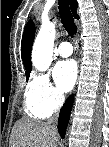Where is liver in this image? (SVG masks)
<instances>
[{"label": "liver", "instance_id": "liver-1", "mask_svg": "<svg viewBox=\"0 0 109 147\" xmlns=\"http://www.w3.org/2000/svg\"><path fill=\"white\" fill-rule=\"evenodd\" d=\"M58 140L57 131L46 122L23 117L12 128L9 147H56Z\"/></svg>", "mask_w": 109, "mask_h": 147}]
</instances>
